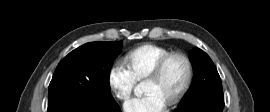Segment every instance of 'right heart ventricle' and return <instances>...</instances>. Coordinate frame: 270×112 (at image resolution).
<instances>
[{
  "label": "right heart ventricle",
  "mask_w": 270,
  "mask_h": 112,
  "mask_svg": "<svg viewBox=\"0 0 270 112\" xmlns=\"http://www.w3.org/2000/svg\"><path fill=\"white\" fill-rule=\"evenodd\" d=\"M171 53L166 47L145 44L128 52L124 58L125 64L136 81L147 78L157 63Z\"/></svg>",
  "instance_id": "obj_1"
}]
</instances>
